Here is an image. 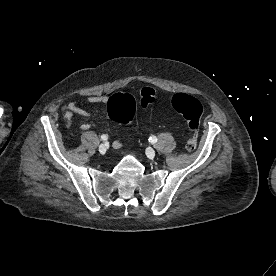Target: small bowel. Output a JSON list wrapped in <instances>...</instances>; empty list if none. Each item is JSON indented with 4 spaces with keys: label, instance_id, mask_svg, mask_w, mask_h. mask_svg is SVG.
<instances>
[{
    "label": "small bowel",
    "instance_id": "c3829d8e",
    "mask_svg": "<svg viewBox=\"0 0 276 276\" xmlns=\"http://www.w3.org/2000/svg\"><path fill=\"white\" fill-rule=\"evenodd\" d=\"M85 101L89 104H106L108 97L104 95H94L87 97ZM75 114L84 119L80 128L82 130L90 129L91 124L88 121L90 114L85 109L81 108L77 101H71L63 108V118L67 126L71 127L73 125V116ZM123 145L124 143L121 140H116L113 143V146L116 149L122 148Z\"/></svg>",
    "mask_w": 276,
    "mask_h": 276
}]
</instances>
